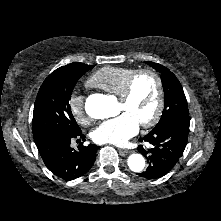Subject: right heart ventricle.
<instances>
[{
  "label": "right heart ventricle",
  "instance_id": "e07e8e85",
  "mask_svg": "<svg viewBox=\"0 0 221 221\" xmlns=\"http://www.w3.org/2000/svg\"><path fill=\"white\" fill-rule=\"evenodd\" d=\"M134 72V69L127 67L107 66L92 74L87 84L91 87L99 88L107 93L118 96L126 80Z\"/></svg>",
  "mask_w": 221,
  "mask_h": 221
}]
</instances>
